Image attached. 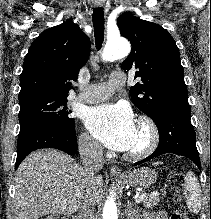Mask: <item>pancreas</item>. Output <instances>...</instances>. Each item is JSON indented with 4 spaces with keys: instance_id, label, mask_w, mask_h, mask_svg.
Returning <instances> with one entry per match:
<instances>
[{
    "instance_id": "pancreas-1",
    "label": "pancreas",
    "mask_w": 211,
    "mask_h": 219,
    "mask_svg": "<svg viewBox=\"0 0 211 219\" xmlns=\"http://www.w3.org/2000/svg\"><path fill=\"white\" fill-rule=\"evenodd\" d=\"M160 195L165 196L166 193L163 192L162 194H159L156 192H151V193L145 194V198L142 199L144 206L146 208H153L154 206H157L159 201L162 198Z\"/></svg>"
}]
</instances>
